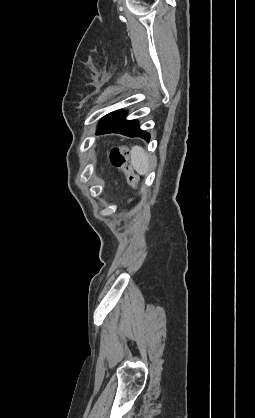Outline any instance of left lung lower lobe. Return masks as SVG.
Returning a JSON list of instances; mask_svg holds the SVG:
<instances>
[{"label":"left lung lower lobe","instance_id":"left-lung-lower-lobe-1","mask_svg":"<svg viewBox=\"0 0 255 418\" xmlns=\"http://www.w3.org/2000/svg\"><path fill=\"white\" fill-rule=\"evenodd\" d=\"M125 111L110 113L104 117L98 127V134L120 133L129 137H141L149 141V134L139 129L136 120H125Z\"/></svg>","mask_w":255,"mask_h":418}]
</instances>
